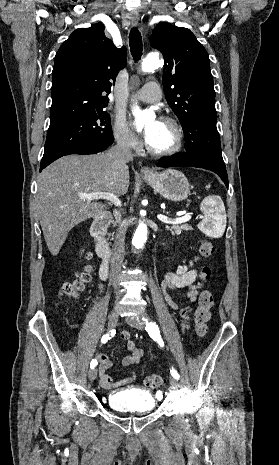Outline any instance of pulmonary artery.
Here are the masks:
<instances>
[{
  "instance_id": "1",
  "label": "pulmonary artery",
  "mask_w": 279,
  "mask_h": 465,
  "mask_svg": "<svg viewBox=\"0 0 279 465\" xmlns=\"http://www.w3.org/2000/svg\"><path fill=\"white\" fill-rule=\"evenodd\" d=\"M136 98L145 103H155L161 99V91L156 82L146 83L137 93Z\"/></svg>"
}]
</instances>
